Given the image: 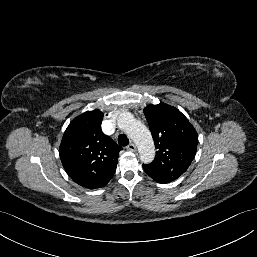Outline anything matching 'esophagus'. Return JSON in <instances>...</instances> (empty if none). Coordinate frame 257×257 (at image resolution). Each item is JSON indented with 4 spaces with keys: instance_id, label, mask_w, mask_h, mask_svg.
<instances>
[{
    "instance_id": "esophagus-1",
    "label": "esophagus",
    "mask_w": 257,
    "mask_h": 257,
    "mask_svg": "<svg viewBox=\"0 0 257 257\" xmlns=\"http://www.w3.org/2000/svg\"><path fill=\"white\" fill-rule=\"evenodd\" d=\"M127 149L129 151H132V152H135L136 151V146L134 143H130L128 146H127Z\"/></svg>"
}]
</instances>
